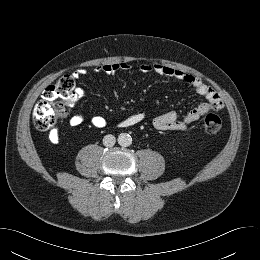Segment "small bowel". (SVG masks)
Listing matches in <instances>:
<instances>
[{
    "instance_id": "obj_1",
    "label": "small bowel",
    "mask_w": 260,
    "mask_h": 260,
    "mask_svg": "<svg viewBox=\"0 0 260 260\" xmlns=\"http://www.w3.org/2000/svg\"><path fill=\"white\" fill-rule=\"evenodd\" d=\"M130 68L127 62L107 63L95 68L98 73H104L107 75H113L119 71H127ZM140 70L143 73H154L160 76L175 78L182 81L186 85L192 87L199 95L205 97L207 102L198 105L196 108L190 110L185 116L178 117L174 112H168L161 114L153 119V127L158 131H185L189 128L190 124L197 121L206 113L212 110H221L224 108V101L220 95L209 85L204 83L200 78L187 74L186 72L174 69L162 64H150L143 63L140 66ZM86 74L84 68H79L73 72L75 78H80ZM78 96L83 95V91L78 89ZM147 114L145 110H139L138 112L129 115L121 119L117 126L120 128H127L137 125L145 120ZM84 121V117L81 114H74L69 118V124L72 127L80 126ZM106 119L102 116H94L92 118V124L97 128L106 126ZM49 140L52 143L59 141V135L56 131H52L49 135Z\"/></svg>"
}]
</instances>
